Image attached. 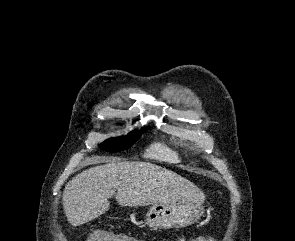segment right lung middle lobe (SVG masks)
Segmentation results:
<instances>
[{
    "mask_svg": "<svg viewBox=\"0 0 295 241\" xmlns=\"http://www.w3.org/2000/svg\"><path fill=\"white\" fill-rule=\"evenodd\" d=\"M140 133L133 131L127 136L111 138L100 144V148L107 152H118L130 148L138 139Z\"/></svg>",
    "mask_w": 295,
    "mask_h": 241,
    "instance_id": "1",
    "label": "right lung middle lobe"
}]
</instances>
